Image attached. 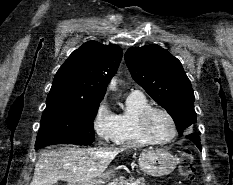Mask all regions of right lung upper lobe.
I'll use <instances>...</instances> for the list:
<instances>
[{"mask_svg": "<svg viewBox=\"0 0 233 185\" xmlns=\"http://www.w3.org/2000/svg\"><path fill=\"white\" fill-rule=\"evenodd\" d=\"M121 58L122 49L117 45L84 43L59 68L48 95L102 100Z\"/></svg>", "mask_w": 233, "mask_h": 185, "instance_id": "obj_1", "label": "right lung upper lobe"}]
</instances>
